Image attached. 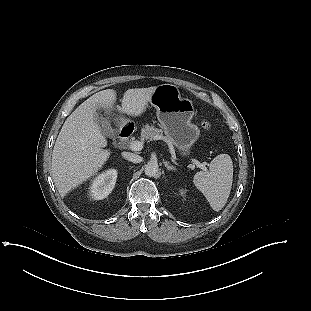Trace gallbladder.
<instances>
[{
	"label": "gallbladder",
	"instance_id": "gallbladder-1",
	"mask_svg": "<svg viewBox=\"0 0 311 311\" xmlns=\"http://www.w3.org/2000/svg\"><path fill=\"white\" fill-rule=\"evenodd\" d=\"M96 121L104 135L110 138L114 137V130L111 128L109 122L103 117V115H101L100 112L96 113Z\"/></svg>",
	"mask_w": 311,
	"mask_h": 311
}]
</instances>
